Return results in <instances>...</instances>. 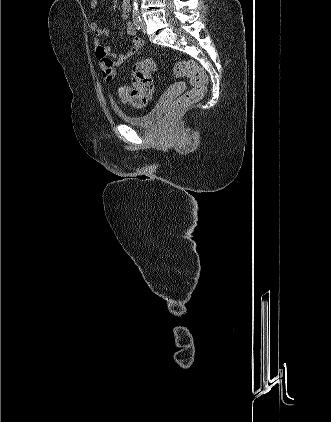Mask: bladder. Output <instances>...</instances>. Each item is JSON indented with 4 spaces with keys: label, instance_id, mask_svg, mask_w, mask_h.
Returning a JSON list of instances; mask_svg holds the SVG:
<instances>
[{
    "label": "bladder",
    "instance_id": "1",
    "mask_svg": "<svg viewBox=\"0 0 331 422\" xmlns=\"http://www.w3.org/2000/svg\"><path fill=\"white\" fill-rule=\"evenodd\" d=\"M118 116L128 125L141 128H151L157 120L158 111L156 108H153L146 113L139 115H130L124 112H118Z\"/></svg>",
    "mask_w": 331,
    "mask_h": 422
}]
</instances>
